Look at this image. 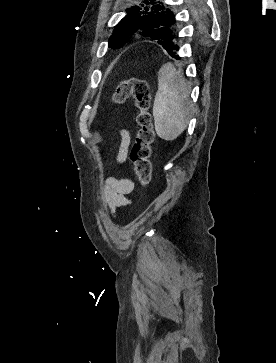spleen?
Returning <instances> with one entry per match:
<instances>
[{"label": "spleen", "instance_id": "obj_1", "mask_svg": "<svg viewBox=\"0 0 276 363\" xmlns=\"http://www.w3.org/2000/svg\"><path fill=\"white\" fill-rule=\"evenodd\" d=\"M190 87L183 75L170 62L158 72V91L153 105L154 126L157 135L173 141L186 129L191 101Z\"/></svg>", "mask_w": 276, "mask_h": 363}]
</instances>
